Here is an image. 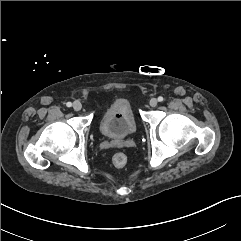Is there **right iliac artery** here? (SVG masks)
<instances>
[{"mask_svg": "<svg viewBox=\"0 0 241 241\" xmlns=\"http://www.w3.org/2000/svg\"><path fill=\"white\" fill-rule=\"evenodd\" d=\"M66 106H67V107H71V106H72V103H71V102H67V103H66Z\"/></svg>", "mask_w": 241, "mask_h": 241, "instance_id": "right-iliac-artery-1", "label": "right iliac artery"}]
</instances>
